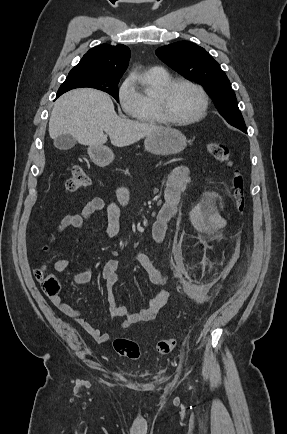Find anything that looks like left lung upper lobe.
Masks as SVG:
<instances>
[{"instance_id": "left-lung-upper-lobe-1", "label": "left lung upper lobe", "mask_w": 287, "mask_h": 434, "mask_svg": "<svg viewBox=\"0 0 287 434\" xmlns=\"http://www.w3.org/2000/svg\"><path fill=\"white\" fill-rule=\"evenodd\" d=\"M156 55L185 78L204 86L220 115L229 124L245 127L229 79L204 48L189 41H179L158 48Z\"/></svg>"}]
</instances>
